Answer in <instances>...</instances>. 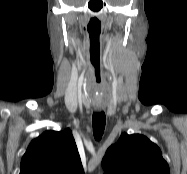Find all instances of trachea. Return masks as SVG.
Wrapping results in <instances>:
<instances>
[{"mask_svg": "<svg viewBox=\"0 0 187 174\" xmlns=\"http://www.w3.org/2000/svg\"><path fill=\"white\" fill-rule=\"evenodd\" d=\"M93 133L97 141L101 140L105 129L106 116L104 112L93 113Z\"/></svg>", "mask_w": 187, "mask_h": 174, "instance_id": "3493384b", "label": "trachea"}]
</instances>
